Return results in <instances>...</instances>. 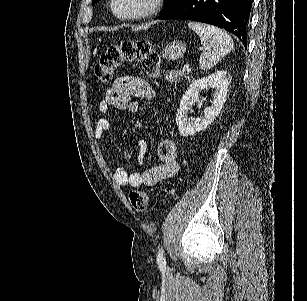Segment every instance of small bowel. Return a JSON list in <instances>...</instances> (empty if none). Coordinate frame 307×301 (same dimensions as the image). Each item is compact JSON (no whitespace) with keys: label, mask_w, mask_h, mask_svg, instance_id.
I'll return each mask as SVG.
<instances>
[{"label":"small bowel","mask_w":307,"mask_h":301,"mask_svg":"<svg viewBox=\"0 0 307 301\" xmlns=\"http://www.w3.org/2000/svg\"><path fill=\"white\" fill-rule=\"evenodd\" d=\"M154 96V88L144 79L136 76H123L113 82L104 98L100 101L98 108L103 114L107 113L110 107L135 111L139 107L135 98L151 99ZM109 128V120L104 117L100 118L96 124V138L98 140L104 139ZM147 150L146 141L139 140L137 143V158L140 163L144 162ZM177 155L178 149L175 142L171 139H164L160 142L158 148L159 165L131 174L124 168L117 167L113 172L114 181L120 186H155L177 173L179 169Z\"/></svg>","instance_id":"small-bowel-1"}]
</instances>
